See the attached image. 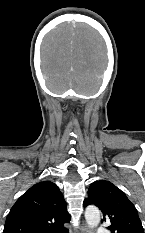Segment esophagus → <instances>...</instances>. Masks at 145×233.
<instances>
[{"label": "esophagus", "mask_w": 145, "mask_h": 233, "mask_svg": "<svg viewBox=\"0 0 145 233\" xmlns=\"http://www.w3.org/2000/svg\"><path fill=\"white\" fill-rule=\"evenodd\" d=\"M77 233H89V228L86 224H83V226L80 228L79 231H77Z\"/></svg>", "instance_id": "1"}]
</instances>
